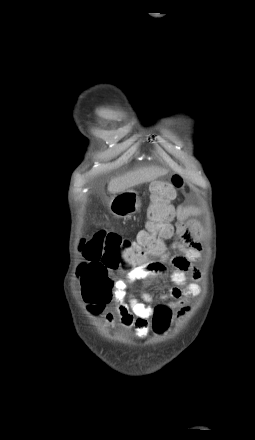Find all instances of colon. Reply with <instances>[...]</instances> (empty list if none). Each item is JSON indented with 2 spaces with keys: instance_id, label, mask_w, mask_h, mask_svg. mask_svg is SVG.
Masks as SVG:
<instances>
[{
  "instance_id": "colon-1",
  "label": "colon",
  "mask_w": 255,
  "mask_h": 440,
  "mask_svg": "<svg viewBox=\"0 0 255 440\" xmlns=\"http://www.w3.org/2000/svg\"><path fill=\"white\" fill-rule=\"evenodd\" d=\"M182 184V178L174 175L169 181H160L151 186L145 229L138 233L136 239L97 231L82 240L79 249L86 260L80 267V271L86 267L80 279L82 295L92 310H102L111 299L109 271L133 270L150 264L152 257L165 254L162 239L172 231L171 201ZM170 320L171 309L167 305H159L153 314V330L162 334L169 327Z\"/></svg>"
}]
</instances>
